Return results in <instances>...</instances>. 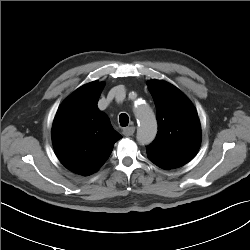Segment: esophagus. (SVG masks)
Instances as JSON below:
<instances>
[{
    "instance_id": "1",
    "label": "esophagus",
    "mask_w": 250,
    "mask_h": 250,
    "mask_svg": "<svg viewBox=\"0 0 250 250\" xmlns=\"http://www.w3.org/2000/svg\"><path fill=\"white\" fill-rule=\"evenodd\" d=\"M134 132H135V127L133 126L123 128V134L127 137L132 136Z\"/></svg>"
}]
</instances>
